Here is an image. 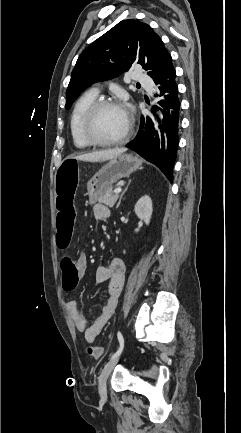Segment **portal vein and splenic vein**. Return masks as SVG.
<instances>
[{
    "label": "portal vein and splenic vein",
    "instance_id": "1",
    "mask_svg": "<svg viewBox=\"0 0 241 433\" xmlns=\"http://www.w3.org/2000/svg\"><path fill=\"white\" fill-rule=\"evenodd\" d=\"M121 190H122L121 188H116V189L114 190V193H115V194H118V193L121 192Z\"/></svg>",
    "mask_w": 241,
    "mask_h": 433
}]
</instances>
